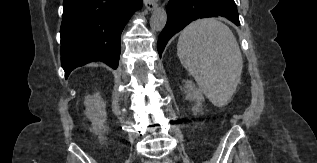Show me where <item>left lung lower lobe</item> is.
<instances>
[{
    "label": "left lung lower lobe",
    "mask_w": 317,
    "mask_h": 163,
    "mask_svg": "<svg viewBox=\"0 0 317 163\" xmlns=\"http://www.w3.org/2000/svg\"><path fill=\"white\" fill-rule=\"evenodd\" d=\"M225 17L239 26L237 7L234 0H177L167 7V23L158 38V52L161 54L177 32L196 19Z\"/></svg>",
    "instance_id": "1"
}]
</instances>
